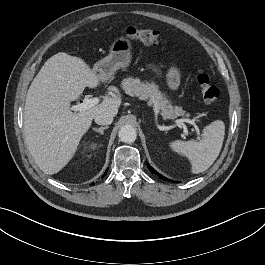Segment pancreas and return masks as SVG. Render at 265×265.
<instances>
[{"label":"pancreas","instance_id":"pancreas-1","mask_svg":"<svg viewBox=\"0 0 265 265\" xmlns=\"http://www.w3.org/2000/svg\"><path fill=\"white\" fill-rule=\"evenodd\" d=\"M122 88L132 97L136 96L143 100L150 99L156 103L164 117L174 118L185 113L181 107L173 108L154 83L141 82L138 78L129 77L123 80Z\"/></svg>","mask_w":265,"mask_h":265}]
</instances>
